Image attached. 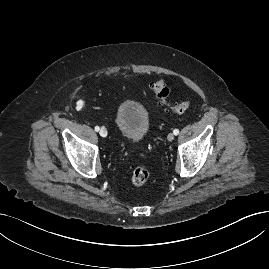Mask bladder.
<instances>
[{
    "label": "bladder",
    "instance_id": "31cf9c89",
    "mask_svg": "<svg viewBox=\"0 0 269 269\" xmlns=\"http://www.w3.org/2000/svg\"><path fill=\"white\" fill-rule=\"evenodd\" d=\"M116 125L123 139L132 142L140 141L149 129L148 113L140 103L124 99L117 107Z\"/></svg>",
    "mask_w": 269,
    "mask_h": 269
}]
</instances>
